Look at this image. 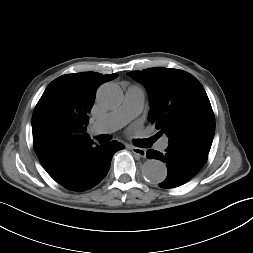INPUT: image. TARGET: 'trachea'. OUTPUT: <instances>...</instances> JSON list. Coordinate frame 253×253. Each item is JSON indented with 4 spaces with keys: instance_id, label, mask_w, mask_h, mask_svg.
I'll list each match as a JSON object with an SVG mask.
<instances>
[{
    "instance_id": "3493384b",
    "label": "trachea",
    "mask_w": 253,
    "mask_h": 253,
    "mask_svg": "<svg viewBox=\"0 0 253 253\" xmlns=\"http://www.w3.org/2000/svg\"><path fill=\"white\" fill-rule=\"evenodd\" d=\"M98 140L99 143L102 144L108 142L110 140V137L108 135H99ZM153 142L154 138L148 139L147 140L148 146H150Z\"/></svg>"
}]
</instances>
